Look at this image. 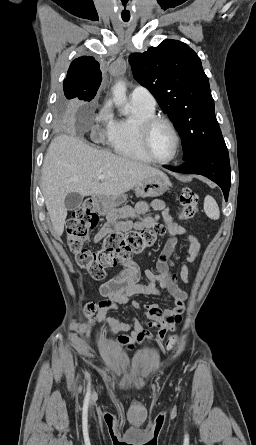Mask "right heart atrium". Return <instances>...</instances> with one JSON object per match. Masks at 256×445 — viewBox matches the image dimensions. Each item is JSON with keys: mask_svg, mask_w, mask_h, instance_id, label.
Instances as JSON below:
<instances>
[{"mask_svg": "<svg viewBox=\"0 0 256 445\" xmlns=\"http://www.w3.org/2000/svg\"><path fill=\"white\" fill-rule=\"evenodd\" d=\"M113 118L110 113L108 105H104L96 117V125L93 129V138L98 141H103L108 138V135L113 126Z\"/></svg>", "mask_w": 256, "mask_h": 445, "instance_id": "obj_1", "label": "right heart atrium"}]
</instances>
